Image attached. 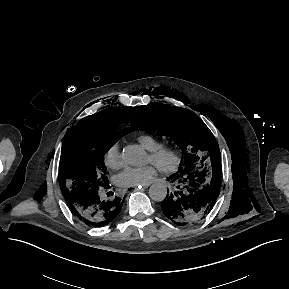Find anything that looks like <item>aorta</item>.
I'll return each mask as SVG.
<instances>
[{
  "instance_id": "1",
  "label": "aorta",
  "mask_w": 289,
  "mask_h": 289,
  "mask_svg": "<svg viewBox=\"0 0 289 289\" xmlns=\"http://www.w3.org/2000/svg\"><path fill=\"white\" fill-rule=\"evenodd\" d=\"M122 159L131 166H141L146 162V153L139 145H128L122 151ZM167 195L163 184H153L149 188V197L156 202H161Z\"/></svg>"
}]
</instances>
